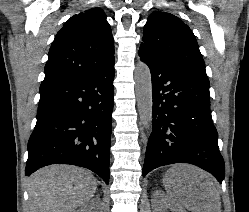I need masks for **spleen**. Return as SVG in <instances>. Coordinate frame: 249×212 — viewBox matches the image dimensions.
Returning <instances> with one entry per match:
<instances>
[{"mask_svg": "<svg viewBox=\"0 0 249 212\" xmlns=\"http://www.w3.org/2000/svg\"><path fill=\"white\" fill-rule=\"evenodd\" d=\"M173 174V170H169V172H167V174H165V178H164V186H165V190H167V192H169V190H173V184H168L167 180H169V178H171ZM170 198H172L171 194H169Z\"/></svg>", "mask_w": 249, "mask_h": 212, "instance_id": "obj_1", "label": "spleen"}]
</instances>
